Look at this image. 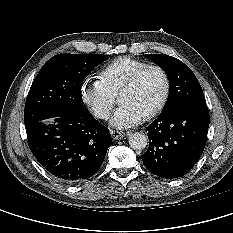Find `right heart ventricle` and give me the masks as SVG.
<instances>
[{"label":"right heart ventricle","instance_id":"e07e8e85","mask_svg":"<svg viewBox=\"0 0 233 233\" xmlns=\"http://www.w3.org/2000/svg\"><path fill=\"white\" fill-rule=\"evenodd\" d=\"M148 65L147 62L131 57H119L106 65L100 72L99 78L115 96L127 80L140 68Z\"/></svg>","mask_w":233,"mask_h":233}]
</instances>
